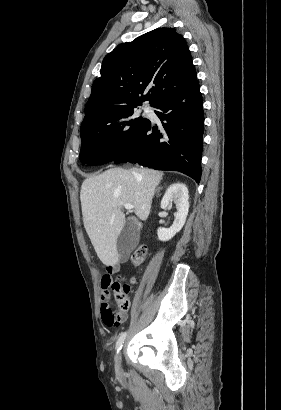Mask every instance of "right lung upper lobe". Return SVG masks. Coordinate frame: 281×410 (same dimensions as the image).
I'll list each match as a JSON object with an SVG mask.
<instances>
[{
  "mask_svg": "<svg viewBox=\"0 0 281 410\" xmlns=\"http://www.w3.org/2000/svg\"><path fill=\"white\" fill-rule=\"evenodd\" d=\"M100 74L93 83L82 124L143 101L152 106L197 81L186 41L173 28H157L118 45L103 59Z\"/></svg>",
  "mask_w": 281,
  "mask_h": 410,
  "instance_id": "right-lung-upper-lobe-1",
  "label": "right lung upper lobe"
}]
</instances>
